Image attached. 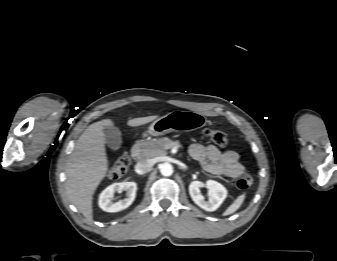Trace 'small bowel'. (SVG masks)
I'll return each instance as SVG.
<instances>
[{
  "instance_id": "small-bowel-1",
  "label": "small bowel",
  "mask_w": 337,
  "mask_h": 261,
  "mask_svg": "<svg viewBox=\"0 0 337 261\" xmlns=\"http://www.w3.org/2000/svg\"><path fill=\"white\" fill-rule=\"evenodd\" d=\"M189 154L211 175L237 178L244 172L239 154L233 150L222 152L211 144L194 143L189 148Z\"/></svg>"
}]
</instances>
